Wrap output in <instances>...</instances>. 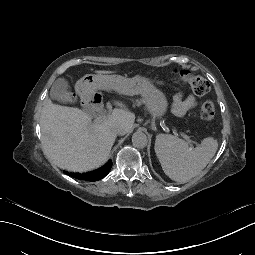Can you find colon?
Segmentation results:
<instances>
[{
    "instance_id": "1",
    "label": "colon",
    "mask_w": 255,
    "mask_h": 255,
    "mask_svg": "<svg viewBox=\"0 0 255 255\" xmlns=\"http://www.w3.org/2000/svg\"><path fill=\"white\" fill-rule=\"evenodd\" d=\"M177 78L183 83L190 86L193 92L198 96L207 94L210 90L209 82L203 77L193 75L189 70H179L177 72ZM62 101L64 103H73L75 96L72 93H67ZM215 117V106L210 100L204 101L200 107L199 118L205 122L213 120Z\"/></svg>"
}]
</instances>
